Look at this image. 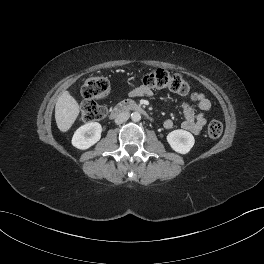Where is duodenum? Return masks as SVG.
Returning <instances> with one entry per match:
<instances>
[{
    "mask_svg": "<svg viewBox=\"0 0 264 264\" xmlns=\"http://www.w3.org/2000/svg\"><path fill=\"white\" fill-rule=\"evenodd\" d=\"M126 111H135V112H139L141 114L146 115V111L141 105H139V104H137L131 100H124V101L120 102L119 104H117L111 110L109 117L111 119H114Z\"/></svg>",
    "mask_w": 264,
    "mask_h": 264,
    "instance_id": "410a0bca",
    "label": "duodenum"
}]
</instances>
